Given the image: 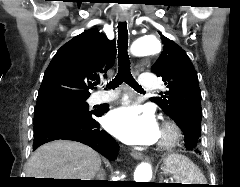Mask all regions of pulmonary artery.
Returning a JSON list of instances; mask_svg holds the SVG:
<instances>
[{"label": "pulmonary artery", "instance_id": "e3ab8cb5", "mask_svg": "<svg viewBox=\"0 0 240 187\" xmlns=\"http://www.w3.org/2000/svg\"><path fill=\"white\" fill-rule=\"evenodd\" d=\"M140 85L142 86V89L144 91H153L154 89L157 88V81L152 74H147V75H141L138 79ZM116 98L115 94H101V93H96L92 97V102L93 103H104V102H109L112 101Z\"/></svg>", "mask_w": 240, "mask_h": 187}]
</instances>
